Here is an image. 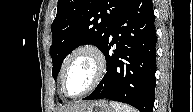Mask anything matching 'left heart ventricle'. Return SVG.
Returning a JSON list of instances; mask_svg holds the SVG:
<instances>
[{
  "label": "left heart ventricle",
  "mask_w": 193,
  "mask_h": 112,
  "mask_svg": "<svg viewBox=\"0 0 193 112\" xmlns=\"http://www.w3.org/2000/svg\"><path fill=\"white\" fill-rule=\"evenodd\" d=\"M95 72L92 57L86 53L77 55L70 62L66 72V86L70 94H78L91 83Z\"/></svg>",
  "instance_id": "1"
}]
</instances>
